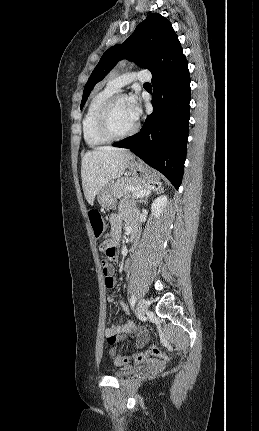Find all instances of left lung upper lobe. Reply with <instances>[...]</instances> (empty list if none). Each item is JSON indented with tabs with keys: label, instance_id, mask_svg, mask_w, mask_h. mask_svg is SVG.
Masks as SVG:
<instances>
[{
	"label": "left lung upper lobe",
	"instance_id": "left-lung-upper-lobe-1",
	"mask_svg": "<svg viewBox=\"0 0 259 431\" xmlns=\"http://www.w3.org/2000/svg\"><path fill=\"white\" fill-rule=\"evenodd\" d=\"M178 40L171 23L158 13L150 14L122 44L109 48L90 75L83 92L82 109L93 87L123 58L154 71L168 49Z\"/></svg>",
	"mask_w": 259,
	"mask_h": 431
}]
</instances>
